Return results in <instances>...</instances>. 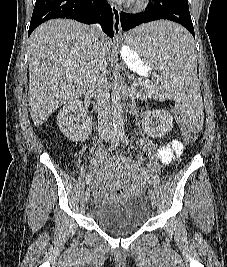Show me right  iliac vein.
Instances as JSON below:
<instances>
[{
    "label": "right iliac vein",
    "mask_w": 227,
    "mask_h": 267,
    "mask_svg": "<svg viewBox=\"0 0 227 267\" xmlns=\"http://www.w3.org/2000/svg\"><path fill=\"white\" fill-rule=\"evenodd\" d=\"M89 199H90V190L87 189L86 192H85V194H84V202L85 203H88Z\"/></svg>",
    "instance_id": "right-iliac-vein-1"
}]
</instances>
